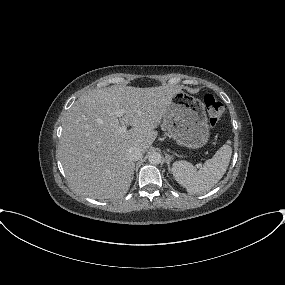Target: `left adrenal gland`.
I'll return each mask as SVG.
<instances>
[{
  "instance_id": "a2214340",
  "label": "left adrenal gland",
  "mask_w": 285,
  "mask_h": 285,
  "mask_svg": "<svg viewBox=\"0 0 285 285\" xmlns=\"http://www.w3.org/2000/svg\"><path fill=\"white\" fill-rule=\"evenodd\" d=\"M170 162H171V157L170 155H166V163H167V166H168V171L170 172Z\"/></svg>"
}]
</instances>
